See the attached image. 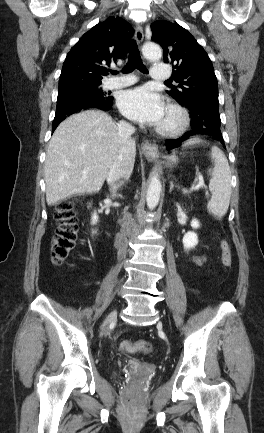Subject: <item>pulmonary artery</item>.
<instances>
[{
	"mask_svg": "<svg viewBox=\"0 0 264 433\" xmlns=\"http://www.w3.org/2000/svg\"><path fill=\"white\" fill-rule=\"evenodd\" d=\"M151 79L166 80L170 77V70L163 65L155 64L151 69ZM136 79L132 75H125L117 78L109 79L105 82L107 89H117L133 84Z\"/></svg>",
	"mask_w": 264,
	"mask_h": 433,
	"instance_id": "pulmonary-artery-1",
	"label": "pulmonary artery"
}]
</instances>
